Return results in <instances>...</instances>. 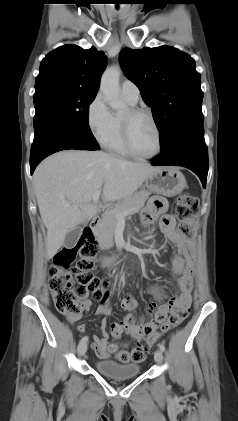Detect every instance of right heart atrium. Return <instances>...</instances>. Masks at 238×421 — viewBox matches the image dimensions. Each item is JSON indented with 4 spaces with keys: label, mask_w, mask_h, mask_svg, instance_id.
Returning a JSON list of instances; mask_svg holds the SVG:
<instances>
[{
    "label": "right heart atrium",
    "mask_w": 238,
    "mask_h": 421,
    "mask_svg": "<svg viewBox=\"0 0 238 421\" xmlns=\"http://www.w3.org/2000/svg\"><path fill=\"white\" fill-rule=\"evenodd\" d=\"M87 122L93 136L101 144L106 142L113 132L114 115L100 93L93 98L88 106Z\"/></svg>",
    "instance_id": "right-heart-atrium-1"
}]
</instances>
